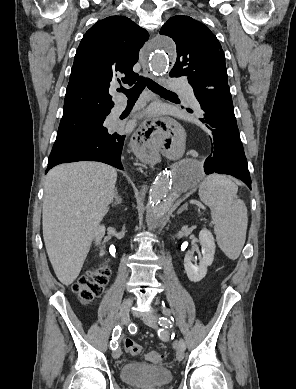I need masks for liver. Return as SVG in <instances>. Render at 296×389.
Masks as SVG:
<instances>
[{"label": "liver", "instance_id": "obj_1", "mask_svg": "<svg viewBox=\"0 0 296 389\" xmlns=\"http://www.w3.org/2000/svg\"><path fill=\"white\" fill-rule=\"evenodd\" d=\"M117 172L90 161L51 169L44 185L43 238L59 281L78 277L97 228L115 195Z\"/></svg>", "mask_w": 296, "mask_h": 389}]
</instances>
